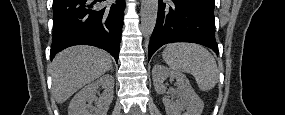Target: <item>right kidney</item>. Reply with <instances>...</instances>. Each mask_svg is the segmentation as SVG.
<instances>
[{
  "mask_svg": "<svg viewBox=\"0 0 285 115\" xmlns=\"http://www.w3.org/2000/svg\"><path fill=\"white\" fill-rule=\"evenodd\" d=\"M99 87L104 88V92L98 98L96 93ZM113 91L114 77L110 74L103 75L73 97L69 104L68 115H106L113 100ZM92 103L95 106H92Z\"/></svg>",
  "mask_w": 285,
  "mask_h": 115,
  "instance_id": "1",
  "label": "right kidney"
}]
</instances>
